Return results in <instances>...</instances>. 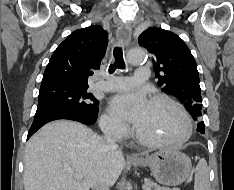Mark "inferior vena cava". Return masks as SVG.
<instances>
[{
	"instance_id": "602c4592",
	"label": "inferior vena cava",
	"mask_w": 234,
	"mask_h": 190,
	"mask_svg": "<svg viewBox=\"0 0 234 190\" xmlns=\"http://www.w3.org/2000/svg\"><path fill=\"white\" fill-rule=\"evenodd\" d=\"M105 141L112 150H118L119 146L116 144L115 139L112 136V132L109 128L104 129ZM94 190H109V185L104 181H99L95 186Z\"/></svg>"
}]
</instances>
